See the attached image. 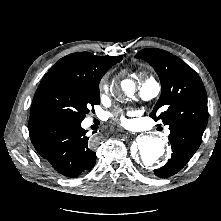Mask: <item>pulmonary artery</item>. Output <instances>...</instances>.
<instances>
[{
    "instance_id": "pulmonary-artery-1",
    "label": "pulmonary artery",
    "mask_w": 221,
    "mask_h": 221,
    "mask_svg": "<svg viewBox=\"0 0 221 221\" xmlns=\"http://www.w3.org/2000/svg\"><path fill=\"white\" fill-rule=\"evenodd\" d=\"M160 92V84L154 78H148L140 88V95L145 101L152 100ZM170 130H166L169 134Z\"/></svg>"
}]
</instances>
